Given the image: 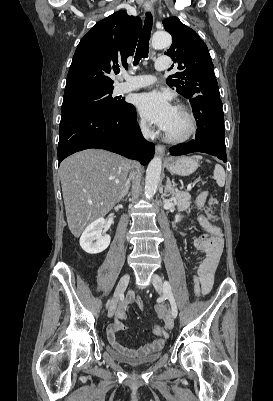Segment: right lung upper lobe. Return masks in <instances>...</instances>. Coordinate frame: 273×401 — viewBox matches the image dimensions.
I'll use <instances>...</instances> for the list:
<instances>
[{
  "instance_id": "right-lung-upper-lobe-1",
  "label": "right lung upper lobe",
  "mask_w": 273,
  "mask_h": 401,
  "mask_svg": "<svg viewBox=\"0 0 273 401\" xmlns=\"http://www.w3.org/2000/svg\"><path fill=\"white\" fill-rule=\"evenodd\" d=\"M142 27L138 17L118 11L99 21L79 42L64 96L113 89L108 76L133 55Z\"/></svg>"
}]
</instances>
